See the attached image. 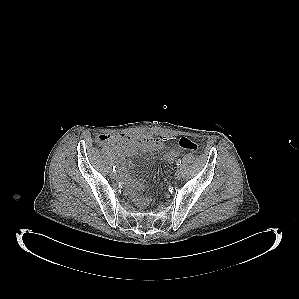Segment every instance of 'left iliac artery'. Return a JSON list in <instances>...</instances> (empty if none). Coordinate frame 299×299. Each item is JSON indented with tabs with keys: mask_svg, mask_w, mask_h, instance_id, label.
<instances>
[{
	"mask_svg": "<svg viewBox=\"0 0 299 299\" xmlns=\"http://www.w3.org/2000/svg\"><path fill=\"white\" fill-rule=\"evenodd\" d=\"M176 165H177L178 167L181 165V160H180V159H178V160L176 161Z\"/></svg>",
	"mask_w": 299,
	"mask_h": 299,
	"instance_id": "obj_1",
	"label": "left iliac artery"
}]
</instances>
